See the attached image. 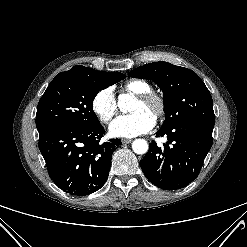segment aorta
Wrapping results in <instances>:
<instances>
[{"instance_id": "762f6f07", "label": "aorta", "mask_w": 247, "mask_h": 247, "mask_svg": "<svg viewBox=\"0 0 247 247\" xmlns=\"http://www.w3.org/2000/svg\"><path fill=\"white\" fill-rule=\"evenodd\" d=\"M131 101V96L128 94H121L118 98V107L121 112L126 113L130 110L129 103ZM148 143L144 139H136L132 143V149L136 154H144L148 151Z\"/></svg>"}]
</instances>
